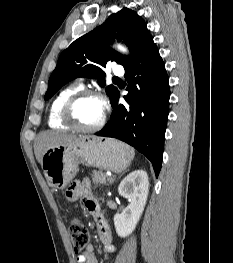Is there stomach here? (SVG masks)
<instances>
[{
	"instance_id": "1",
	"label": "stomach",
	"mask_w": 233,
	"mask_h": 263,
	"mask_svg": "<svg viewBox=\"0 0 233 263\" xmlns=\"http://www.w3.org/2000/svg\"><path fill=\"white\" fill-rule=\"evenodd\" d=\"M133 158V150L123 142L79 136L48 148L42 156L41 167L49 186L63 189L76 176L80 163L120 173L130 165Z\"/></svg>"
}]
</instances>
